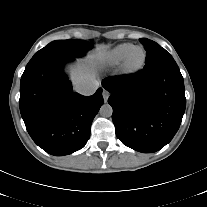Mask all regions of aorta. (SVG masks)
<instances>
[{"label": "aorta", "instance_id": "762f6f07", "mask_svg": "<svg viewBox=\"0 0 207 207\" xmlns=\"http://www.w3.org/2000/svg\"><path fill=\"white\" fill-rule=\"evenodd\" d=\"M99 113L103 117H110L113 113V109L109 104H103L100 107Z\"/></svg>", "mask_w": 207, "mask_h": 207}]
</instances>
